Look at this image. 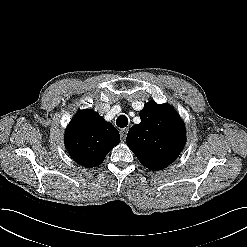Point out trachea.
Masks as SVG:
<instances>
[{
  "instance_id": "obj_1",
  "label": "trachea",
  "mask_w": 247,
  "mask_h": 247,
  "mask_svg": "<svg viewBox=\"0 0 247 247\" xmlns=\"http://www.w3.org/2000/svg\"><path fill=\"white\" fill-rule=\"evenodd\" d=\"M116 125L120 128H124L128 125V119L125 115H120L116 120Z\"/></svg>"
}]
</instances>
